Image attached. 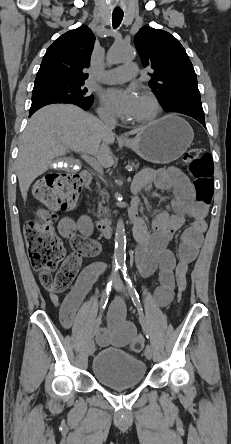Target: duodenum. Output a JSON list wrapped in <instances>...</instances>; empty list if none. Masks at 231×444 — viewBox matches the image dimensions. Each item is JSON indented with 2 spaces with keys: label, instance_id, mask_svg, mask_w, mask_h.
Segmentation results:
<instances>
[{
  "label": "duodenum",
  "instance_id": "410a0bca",
  "mask_svg": "<svg viewBox=\"0 0 231 444\" xmlns=\"http://www.w3.org/2000/svg\"><path fill=\"white\" fill-rule=\"evenodd\" d=\"M80 179L84 184H89L92 179L90 172L83 170L80 174ZM140 222L141 218L138 215L137 207L133 205L126 216V225L136 230ZM93 226L100 235L106 238L112 237L116 230V225L113 220H97L93 222Z\"/></svg>",
  "mask_w": 231,
  "mask_h": 444
}]
</instances>
